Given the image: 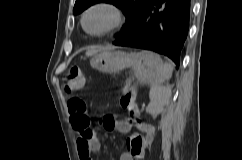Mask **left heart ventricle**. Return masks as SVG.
<instances>
[{
	"instance_id": "left-heart-ventricle-1",
	"label": "left heart ventricle",
	"mask_w": 242,
	"mask_h": 160,
	"mask_svg": "<svg viewBox=\"0 0 242 160\" xmlns=\"http://www.w3.org/2000/svg\"><path fill=\"white\" fill-rule=\"evenodd\" d=\"M113 18V13L108 9L93 10L86 18V28L90 32L102 31L112 23Z\"/></svg>"
}]
</instances>
